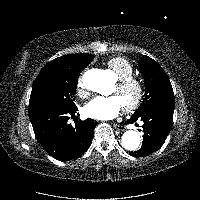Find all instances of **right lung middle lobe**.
<instances>
[{
	"instance_id": "1",
	"label": "right lung middle lobe",
	"mask_w": 200,
	"mask_h": 200,
	"mask_svg": "<svg viewBox=\"0 0 200 200\" xmlns=\"http://www.w3.org/2000/svg\"><path fill=\"white\" fill-rule=\"evenodd\" d=\"M86 54L81 65L72 71L55 76H38L34 82L29 101V113L54 108H74V95L80 72L92 61Z\"/></svg>"
}]
</instances>
